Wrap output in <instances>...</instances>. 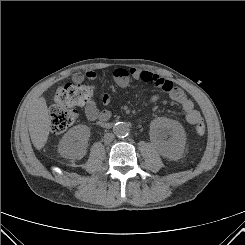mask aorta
<instances>
[{
  "label": "aorta",
  "instance_id": "aorta-1",
  "mask_svg": "<svg viewBox=\"0 0 245 245\" xmlns=\"http://www.w3.org/2000/svg\"><path fill=\"white\" fill-rule=\"evenodd\" d=\"M113 131H114L115 135H117L119 137H125L129 134L130 127L125 122H118L114 125Z\"/></svg>",
  "mask_w": 245,
  "mask_h": 245
}]
</instances>
